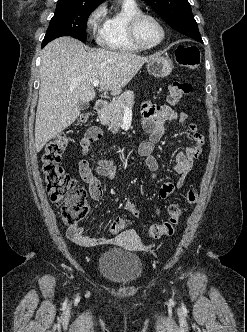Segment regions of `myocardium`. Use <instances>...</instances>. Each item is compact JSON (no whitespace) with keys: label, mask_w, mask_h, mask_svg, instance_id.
<instances>
[{"label":"myocardium","mask_w":247,"mask_h":332,"mask_svg":"<svg viewBox=\"0 0 247 332\" xmlns=\"http://www.w3.org/2000/svg\"><path fill=\"white\" fill-rule=\"evenodd\" d=\"M144 18H152L153 20H155L157 22V24L159 25V27L161 29L160 40L151 45L143 44L138 37V26H139V23L141 22V20ZM128 34H129L130 40L133 42L134 45H136L139 49L148 50V49L155 48L163 43V41L165 40V37H166V29H165L163 22L161 21V19L158 16H156L152 13H148V12H140V13L134 15L130 19V22L128 25Z\"/></svg>","instance_id":"1"}]
</instances>
